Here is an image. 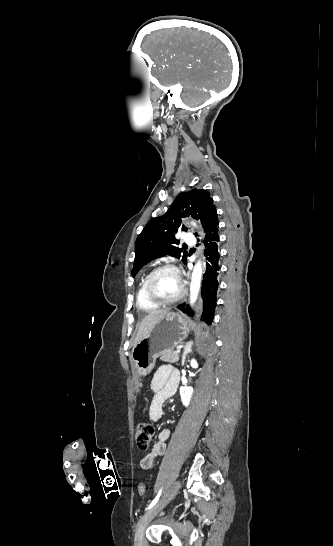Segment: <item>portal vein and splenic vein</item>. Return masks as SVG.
<instances>
[{
    "mask_svg": "<svg viewBox=\"0 0 333 546\" xmlns=\"http://www.w3.org/2000/svg\"><path fill=\"white\" fill-rule=\"evenodd\" d=\"M176 353H180V349H177V350H176Z\"/></svg>",
    "mask_w": 333,
    "mask_h": 546,
    "instance_id": "1",
    "label": "portal vein and splenic vein"
}]
</instances>
